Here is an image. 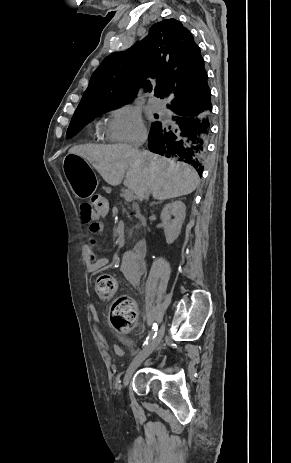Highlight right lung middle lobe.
Instances as JSON below:
<instances>
[{
    "instance_id": "dd1d6c3e",
    "label": "right lung middle lobe",
    "mask_w": 291,
    "mask_h": 463,
    "mask_svg": "<svg viewBox=\"0 0 291 463\" xmlns=\"http://www.w3.org/2000/svg\"><path fill=\"white\" fill-rule=\"evenodd\" d=\"M127 103L129 102H113V103L101 104V105L90 107V108L77 109L68 127L66 137L68 138L73 137L83 127V125L90 122L94 117L100 114H103L107 111L116 109ZM155 123H153L152 125H154Z\"/></svg>"
}]
</instances>
